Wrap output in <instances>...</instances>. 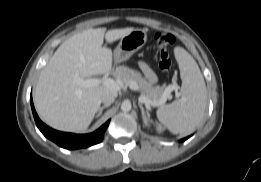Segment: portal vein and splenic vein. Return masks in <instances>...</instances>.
<instances>
[{"instance_id": "1", "label": "portal vein and splenic vein", "mask_w": 261, "mask_h": 182, "mask_svg": "<svg viewBox=\"0 0 261 182\" xmlns=\"http://www.w3.org/2000/svg\"><path fill=\"white\" fill-rule=\"evenodd\" d=\"M75 82L77 84H80V85H83V86H86V87H92V86L103 84V85L107 86L108 88H110L112 90H115V91L121 90V85H120L119 82L115 81L112 78H107V77H104V78H101V79H97V78L82 79L80 77H76ZM128 86L131 90H134V91L139 90V86L135 81L129 82ZM175 89H176V86H169L167 88L166 93H164L163 99L160 102V105H162L166 102L171 91L175 90ZM138 99H139V102L144 103L146 107H150L151 102L145 96L140 95Z\"/></svg>"}]
</instances>
